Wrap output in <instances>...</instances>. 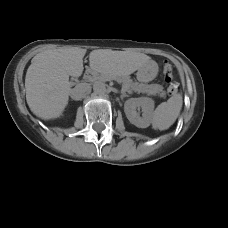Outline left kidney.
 Segmentation results:
<instances>
[{"label":"left kidney","instance_id":"left-kidney-1","mask_svg":"<svg viewBox=\"0 0 228 228\" xmlns=\"http://www.w3.org/2000/svg\"><path fill=\"white\" fill-rule=\"evenodd\" d=\"M142 108V117H140L136 108ZM154 109V101L151 98H131L124 104V112L130 123L138 128H146L150 125L151 117Z\"/></svg>","mask_w":228,"mask_h":228}]
</instances>
